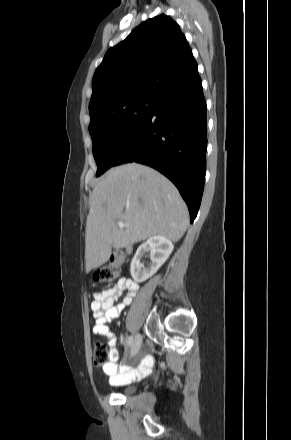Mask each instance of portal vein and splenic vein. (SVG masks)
Segmentation results:
<instances>
[{
	"label": "portal vein and splenic vein",
	"mask_w": 291,
	"mask_h": 440,
	"mask_svg": "<svg viewBox=\"0 0 291 440\" xmlns=\"http://www.w3.org/2000/svg\"><path fill=\"white\" fill-rule=\"evenodd\" d=\"M129 225L124 223L123 221H118V227L119 228H124V227H128Z\"/></svg>",
	"instance_id": "portal-vein-and-splenic-vein-1"
}]
</instances>
